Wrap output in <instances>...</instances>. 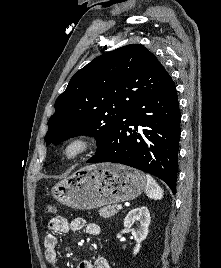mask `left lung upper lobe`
Listing matches in <instances>:
<instances>
[{"mask_svg":"<svg viewBox=\"0 0 221 268\" xmlns=\"http://www.w3.org/2000/svg\"><path fill=\"white\" fill-rule=\"evenodd\" d=\"M171 80L143 45H127L98 56L74 74L57 98L46 144L88 135L95 137L98 153L124 114Z\"/></svg>","mask_w":221,"mask_h":268,"instance_id":"1","label":"left lung upper lobe"}]
</instances>
